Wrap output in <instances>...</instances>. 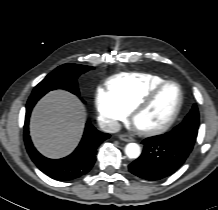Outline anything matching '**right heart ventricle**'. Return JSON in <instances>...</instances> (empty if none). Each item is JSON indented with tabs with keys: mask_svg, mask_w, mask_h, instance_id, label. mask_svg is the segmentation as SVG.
I'll return each instance as SVG.
<instances>
[{
	"mask_svg": "<svg viewBox=\"0 0 218 210\" xmlns=\"http://www.w3.org/2000/svg\"><path fill=\"white\" fill-rule=\"evenodd\" d=\"M165 79L152 73H123L111 78L108 90L129 112L145 94Z\"/></svg>",
	"mask_w": 218,
	"mask_h": 210,
	"instance_id": "right-heart-ventricle-1",
	"label": "right heart ventricle"
}]
</instances>
